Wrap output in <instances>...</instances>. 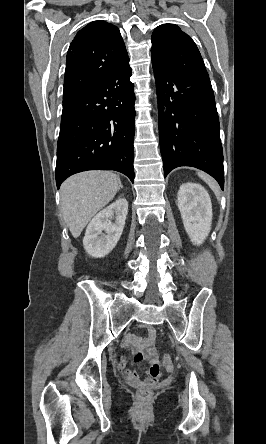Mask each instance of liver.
Instances as JSON below:
<instances>
[{
  "label": "liver",
  "mask_w": 266,
  "mask_h": 444,
  "mask_svg": "<svg viewBox=\"0 0 266 444\" xmlns=\"http://www.w3.org/2000/svg\"><path fill=\"white\" fill-rule=\"evenodd\" d=\"M120 179L108 171L75 174L61 186V211L74 238L120 189Z\"/></svg>",
  "instance_id": "6515ba94"
}]
</instances>
